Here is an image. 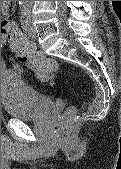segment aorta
Returning a JSON list of instances; mask_svg holds the SVG:
<instances>
[{
    "instance_id": "762f6f07",
    "label": "aorta",
    "mask_w": 121,
    "mask_h": 169,
    "mask_svg": "<svg viewBox=\"0 0 121 169\" xmlns=\"http://www.w3.org/2000/svg\"><path fill=\"white\" fill-rule=\"evenodd\" d=\"M19 3H21V4H26V5H30V4H32L33 3V1H19Z\"/></svg>"
}]
</instances>
